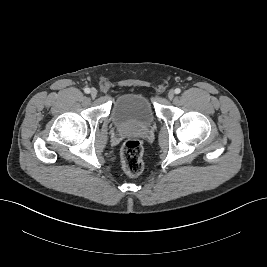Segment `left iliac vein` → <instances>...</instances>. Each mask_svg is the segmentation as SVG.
Returning a JSON list of instances; mask_svg holds the SVG:
<instances>
[{"instance_id":"1","label":"left iliac vein","mask_w":267,"mask_h":267,"mask_svg":"<svg viewBox=\"0 0 267 267\" xmlns=\"http://www.w3.org/2000/svg\"><path fill=\"white\" fill-rule=\"evenodd\" d=\"M174 95H175V92H174L173 90H170V91L168 92V98H169L170 100H172V99L174 98Z\"/></svg>"}]
</instances>
